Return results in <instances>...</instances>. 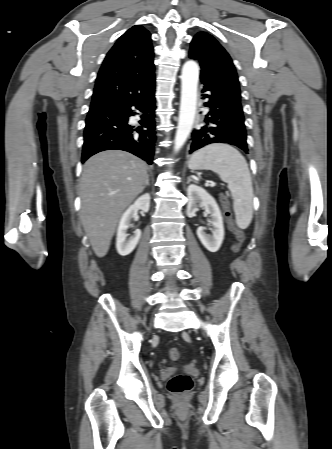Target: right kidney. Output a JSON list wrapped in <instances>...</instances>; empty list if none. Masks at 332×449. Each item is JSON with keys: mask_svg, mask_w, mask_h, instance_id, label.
<instances>
[{"mask_svg": "<svg viewBox=\"0 0 332 449\" xmlns=\"http://www.w3.org/2000/svg\"><path fill=\"white\" fill-rule=\"evenodd\" d=\"M150 208V195L148 193L140 196L122 215L116 238V249L121 256L129 255L136 247L141 237V231L136 230L134 235L127 239V229L131 226L132 220L138 219V210L148 212Z\"/></svg>", "mask_w": 332, "mask_h": 449, "instance_id": "1", "label": "right kidney"}]
</instances>
